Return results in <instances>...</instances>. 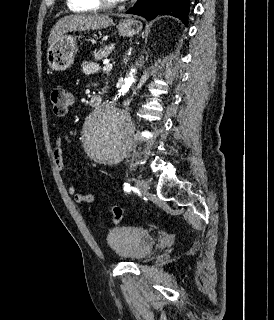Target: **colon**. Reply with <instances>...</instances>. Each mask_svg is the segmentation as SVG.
<instances>
[{
    "label": "colon",
    "mask_w": 274,
    "mask_h": 320,
    "mask_svg": "<svg viewBox=\"0 0 274 320\" xmlns=\"http://www.w3.org/2000/svg\"><path fill=\"white\" fill-rule=\"evenodd\" d=\"M50 101L53 106L54 114L62 116L67 113L68 108L72 104L71 93L66 91L65 88L57 86L51 89ZM110 211L113 216V223H118L124 216V211L118 206H112Z\"/></svg>",
    "instance_id": "colon-1"
}]
</instances>
